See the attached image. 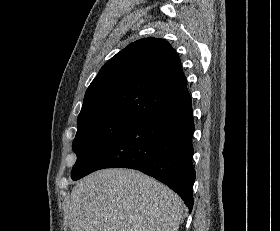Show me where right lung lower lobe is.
I'll return each mask as SVG.
<instances>
[{
  "mask_svg": "<svg viewBox=\"0 0 280 231\" xmlns=\"http://www.w3.org/2000/svg\"><path fill=\"white\" fill-rule=\"evenodd\" d=\"M194 129L191 100L159 110L127 129L72 179L104 168L136 169L168 185L191 212Z\"/></svg>",
  "mask_w": 280,
  "mask_h": 231,
  "instance_id": "obj_1",
  "label": "right lung lower lobe"
}]
</instances>
